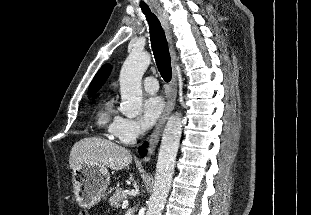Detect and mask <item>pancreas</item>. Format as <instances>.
<instances>
[{
	"instance_id": "cf45deb5",
	"label": "pancreas",
	"mask_w": 311,
	"mask_h": 215,
	"mask_svg": "<svg viewBox=\"0 0 311 215\" xmlns=\"http://www.w3.org/2000/svg\"><path fill=\"white\" fill-rule=\"evenodd\" d=\"M126 198L127 194L124 190L122 188H116L115 193L109 199V203L113 208L118 209L120 207V203Z\"/></svg>"
}]
</instances>
